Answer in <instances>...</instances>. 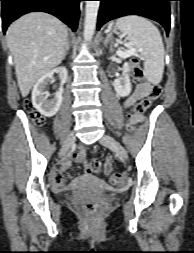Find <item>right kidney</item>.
Listing matches in <instances>:
<instances>
[{
	"label": "right kidney",
	"instance_id": "1",
	"mask_svg": "<svg viewBox=\"0 0 194 253\" xmlns=\"http://www.w3.org/2000/svg\"><path fill=\"white\" fill-rule=\"evenodd\" d=\"M54 72L60 74L61 86L55 93V96L49 99L46 87ZM66 80L67 70L65 67H60L46 73L36 82L32 91V104L39 113L46 117H52L57 113L63 101V85Z\"/></svg>",
	"mask_w": 194,
	"mask_h": 253
}]
</instances>
